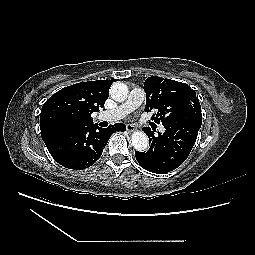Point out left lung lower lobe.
<instances>
[{"instance_id": "obj_1", "label": "left lung lower lobe", "mask_w": 255, "mask_h": 255, "mask_svg": "<svg viewBox=\"0 0 255 255\" xmlns=\"http://www.w3.org/2000/svg\"><path fill=\"white\" fill-rule=\"evenodd\" d=\"M202 121L164 125L165 132L158 137L150 128L144 131L149 137L150 148L135 152L138 163L147 171L164 174L178 168L189 156Z\"/></svg>"}]
</instances>
